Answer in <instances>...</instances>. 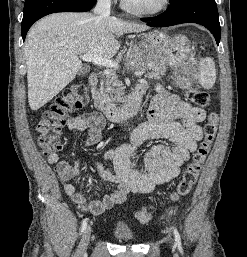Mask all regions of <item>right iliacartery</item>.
Wrapping results in <instances>:
<instances>
[{
    "instance_id": "82829eb1",
    "label": "right iliac artery",
    "mask_w": 247,
    "mask_h": 257,
    "mask_svg": "<svg viewBox=\"0 0 247 257\" xmlns=\"http://www.w3.org/2000/svg\"><path fill=\"white\" fill-rule=\"evenodd\" d=\"M87 227V219L85 218L83 221H82V225H81V228H80V233L84 232L85 229Z\"/></svg>"
}]
</instances>
